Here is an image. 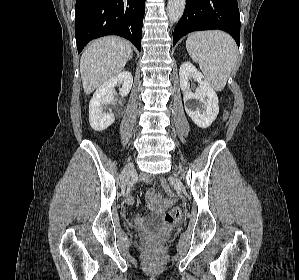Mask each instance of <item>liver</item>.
Here are the masks:
<instances>
[{
	"label": "liver",
	"instance_id": "obj_1",
	"mask_svg": "<svg viewBox=\"0 0 299 280\" xmlns=\"http://www.w3.org/2000/svg\"><path fill=\"white\" fill-rule=\"evenodd\" d=\"M130 44L118 37H103L91 42L82 54L80 74L85 94L120 73L130 59Z\"/></svg>",
	"mask_w": 299,
	"mask_h": 280
}]
</instances>
